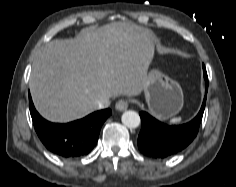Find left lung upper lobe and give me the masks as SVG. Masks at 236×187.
I'll return each mask as SVG.
<instances>
[{
  "mask_svg": "<svg viewBox=\"0 0 236 187\" xmlns=\"http://www.w3.org/2000/svg\"><path fill=\"white\" fill-rule=\"evenodd\" d=\"M204 78H205V81H208V77H207L206 70H205V72H204Z\"/></svg>",
  "mask_w": 236,
  "mask_h": 187,
  "instance_id": "left-lung-upper-lobe-1",
  "label": "left lung upper lobe"
}]
</instances>
